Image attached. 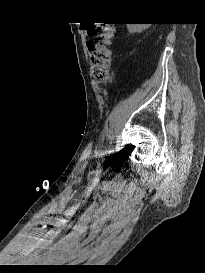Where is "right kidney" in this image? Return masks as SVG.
Segmentation results:
<instances>
[{
    "label": "right kidney",
    "instance_id": "obj_1",
    "mask_svg": "<svg viewBox=\"0 0 205 273\" xmlns=\"http://www.w3.org/2000/svg\"><path fill=\"white\" fill-rule=\"evenodd\" d=\"M143 29H145V27H133L128 25V30L130 32H141Z\"/></svg>",
    "mask_w": 205,
    "mask_h": 273
}]
</instances>
